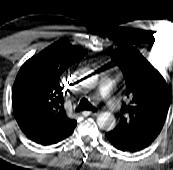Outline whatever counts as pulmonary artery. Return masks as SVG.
I'll return each instance as SVG.
<instances>
[{"label": "pulmonary artery", "mask_w": 173, "mask_h": 170, "mask_svg": "<svg viewBox=\"0 0 173 170\" xmlns=\"http://www.w3.org/2000/svg\"><path fill=\"white\" fill-rule=\"evenodd\" d=\"M113 81L109 77H102L100 79L99 92L103 97H108L112 89Z\"/></svg>", "instance_id": "1"}]
</instances>
